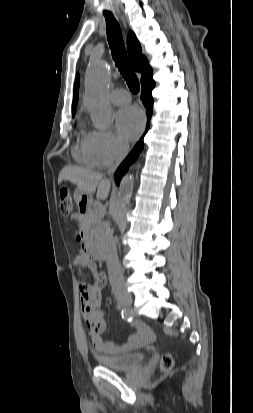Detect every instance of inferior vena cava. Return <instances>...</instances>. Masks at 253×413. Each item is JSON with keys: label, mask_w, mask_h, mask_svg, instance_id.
I'll list each match as a JSON object with an SVG mask.
<instances>
[{"label": "inferior vena cava", "mask_w": 253, "mask_h": 413, "mask_svg": "<svg viewBox=\"0 0 253 413\" xmlns=\"http://www.w3.org/2000/svg\"><path fill=\"white\" fill-rule=\"evenodd\" d=\"M127 152V146L123 147L118 152L115 164L109 169L108 174H113L116 171L120 163L125 158ZM109 226V224H106L99 230L97 234V242L106 258L109 281L112 290L114 292L125 291L126 286L123 277V272L118 260L116 240L113 238V234Z\"/></svg>", "instance_id": "1"}]
</instances>
